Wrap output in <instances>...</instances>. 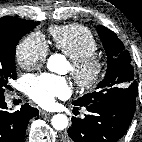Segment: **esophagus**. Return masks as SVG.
Returning <instances> with one entry per match:
<instances>
[{
	"instance_id": "1",
	"label": "esophagus",
	"mask_w": 142,
	"mask_h": 142,
	"mask_svg": "<svg viewBox=\"0 0 142 142\" xmlns=\"http://www.w3.org/2000/svg\"><path fill=\"white\" fill-rule=\"evenodd\" d=\"M39 114L42 116L50 115L51 113L45 110H39Z\"/></svg>"
}]
</instances>
